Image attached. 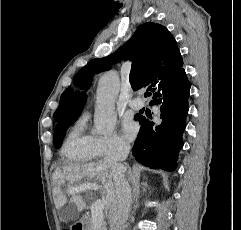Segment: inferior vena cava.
Wrapping results in <instances>:
<instances>
[{"mask_svg": "<svg viewBox=\"0 0 241 230\" xmlns=\"http://www.w3.org/2000/svg\"><path fill=\"white\" fill-rule=\"evenodd\" d=\"M129 150V144H121L117 151L106 155L103 160L111 168L115 186V196L109 211L110 230H125L131 210V187L125 178L124 165L120 162Z\"/></svg>", "mask_w": 241, "mask_h": 230, "instance_id": "inferior-vena-cava-1", "label": "inferior vena cava"}]
</instances>
